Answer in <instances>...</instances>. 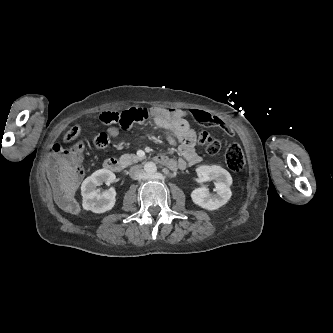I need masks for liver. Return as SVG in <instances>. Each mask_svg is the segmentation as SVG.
<instances>
[{
  "instance_id": "1",
  "label": "liver",
  "mask_w": 333,
  "mask_h": 333,
  "mask_svg": "<svg viewBox=\"0 0 333 333\" xmlns=\"http://www.w3.org/2000/svg\"><path fill=\"white\" fill-rule=\"evenodd\" d=\"M60 188L67 201H72L78 188V174L76 169L65 159L59 161Z\"/></svg>"
}]
</instances>
